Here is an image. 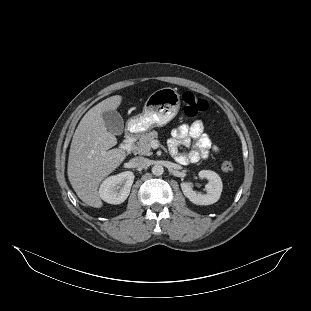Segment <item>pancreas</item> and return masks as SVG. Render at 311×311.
<instances>
[{
    "label": "pancreas",
    "mask_w": 311,
    "mask_h": 311,
    "mask_svg": "<svg viewBox=\"0 0 311 311\" xmlns=\"http://www.w3.org/2000/svg\"><path fill=\"white\" fill-rule=\"evenodd\" d=\"M156 138H158V132L155 130L141 135L139 141L132 148L133 153L146 156L152 155L151 142Z\"/></svg>",
    "instance_id": "1"
}]
</instances>
